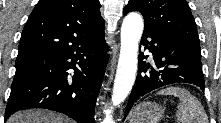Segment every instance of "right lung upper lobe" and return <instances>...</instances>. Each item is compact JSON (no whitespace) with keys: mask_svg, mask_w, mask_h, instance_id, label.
Instances as JSON below:
<instances>
[{"mask_svg":"<svg viewBox=\"0 0 221 123\" xmlns=\"http://www.w3.org/2000/svg\"><path fill=\"white\" fill-rule=\"evenodd\" d=\"M99 0H40L23 29L18 56L58 51L104 34Z\"/></svg>","mask_w":221,"mask_h":123,"instance_id":"obj_1","label":"right lung upper lobe"}]
</instances>
